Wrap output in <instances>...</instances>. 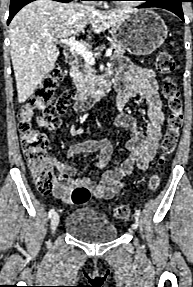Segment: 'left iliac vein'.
<instances>
[{"instance_id": "obj_1", "label": "left iliac vein", "mask_w": 193, "mask_h": 287, "mask_svg": "<svg viewBox=\"0 0 193 287\" xmlns=\"http://www.w3.org/2000/svg\"><path fill=\"white\" fill-rule=\"evenodd\" d=\"M134 219H135V225L138 226L139 225V217L136 214L134 215Z\"/></svg>"}]
</instances>
